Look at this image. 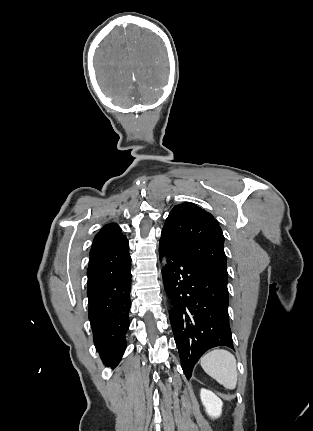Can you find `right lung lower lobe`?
Masks as SVG:
<instances>
[{
  "label": "right lung lower lobe",
  "instance_id": "1",
  "mask_svg": "<svg viewBox=\"0 0 313 431\" xmlns=\"http://www.w3.org/2000/svg\"><path fill=\"white\" fill-rule=\"evenodd\" d=\"M127 240L90 256L87 270L89 320L103 363L117 366L129 328L131 257Z\"/></svg>",
  "mask_w": 313,
  "mask_h": 431
}]
</instances>
